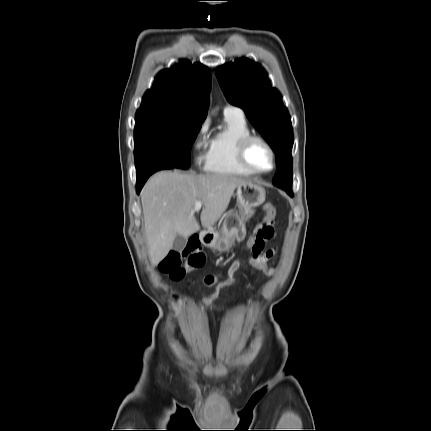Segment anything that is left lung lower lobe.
<instances>
[{
    "label": "left lung lower lobe",
    "mask_w": 431,
    "mask_h": 431,
    "mask_svg": "<svg viewBox=\"0 0 431 431\" xmlns=\"http://www.w3.org/2000/svg\"><path fill=\"white\" fill-rule=\"evenodd\" d=\"M287 192V191H286ZM290 196H292L293 194H292V192H287Z\"/></svg>",
    "instance_id": "obj_1"
}]
</instances>
